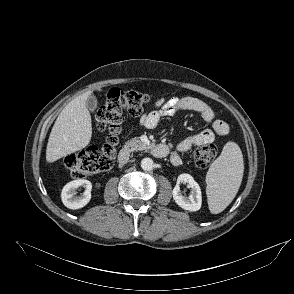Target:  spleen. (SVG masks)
<instances>
[{
  "label": "spleen",
  "instance_id": "spleen-1",
  "mask_svg": "<svg viewBox=\"0 0 294 294\" xmlns=\"http://www.w3.org/2000/svg\"><path fill=\"white\" fill-rule=\"evenodd\" d=\"M244 171L243 155L235 142H227L206 175V194L210 212H222L234 199Z\"/></svg>",
  "mask_w": 294,
  "mask_h": 294
}]
</instances>
